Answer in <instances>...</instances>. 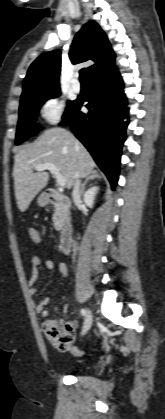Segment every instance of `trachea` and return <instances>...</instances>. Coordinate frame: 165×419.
I'll return each instance as SVG.
<instances>
[{
	"label": "trachea",
	"mask_w": 165,
	"mask_h": 419,
	"mask_svg": "<svg viewBox=\"0 0 165 419\" xmlns=\"http://www.w3.org/2000/svg\"><path fill=\"white\" fill-rule=\"evenodd\" d=\"M80 82L84 83L87 82V69L83 68L80 71Z\"/></svg>",
	"instance_id": "3493384b"
}]
</instances>
